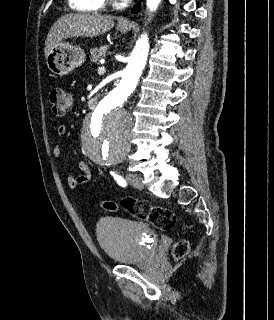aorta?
Masks as SVG:
<instances>
[{"mask_svg":"<svg viewBox=\"0 0 274 320\" xmlns=\"http://www.w3.org/2000/svg\"><path fill=\"white\" fill-rule=\"evenodd\" d=\"M161 0H146L150 11H155ZM149 40L146 34L136 42L128 65L117 86L98 104L84 123L81 144L85 155L96 163L123 160L130 150L132 120L124 105L136 88L146 65Z\"/></svg>","mask_w":274,"mask_h":320,"instance_id":"1","label":"aorta"}]
</instances>
